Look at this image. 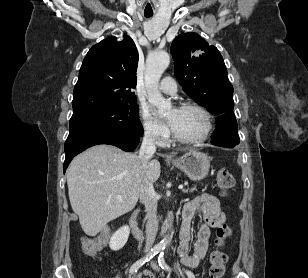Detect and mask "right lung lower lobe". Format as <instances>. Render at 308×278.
<instances>
[{
    "label": "right lung lower lobe",
    "mask_w": 308,
    "mask_h": 278,
    "mask_svg": "<svg viewBox=\"0 0 308 278\" xmlns=\"http://www.w3.org/2000/svg\"><path fill=\"white\" fill-rule=\"evenodd\" d=\"M139 135L117 131H82L70 133L65 142L64 173L71 160L82 151L97 144H109L130 152L139 143Z\"/></svg>",
    "instance_id": "right-lung-lower-lobe-1"
}]
</instances>
